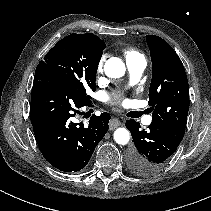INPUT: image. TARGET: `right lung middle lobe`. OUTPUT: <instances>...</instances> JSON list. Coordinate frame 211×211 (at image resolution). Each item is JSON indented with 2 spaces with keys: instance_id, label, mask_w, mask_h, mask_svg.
<instances>
[{
  "instance_id": "right-lung-middle-lobe-1",
  "label": "right lung middle lobe",
  "mask_w": 211,
  "mask_h": 211,
  "mask_svg": "<svg viewBox=\"0 0 211 211\" xmlns=\"http://www.w3.org/2000/svg\"><path fill=\"white\" fill-rule=\"evenodd\" d=\"M102 55L96 44L79 34L58 41L40 61L35 74H45L73 86L83 97L96 90L95 77Z\"/></svg>"
}]
</instances>
